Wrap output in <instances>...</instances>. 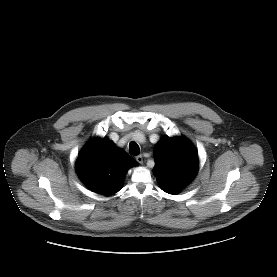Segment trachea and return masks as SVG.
<instances>
[{
    "label": "trachea",
    "mask_w": 277,
    "mask_h": 277,
    "mask_svg": "<svg viewBox=\"0 0 277 277\" xmlns=\"http://www.w3.org/2000/svg\"><path fill=\"white\" fill-rule=\"evenodd\" d=\"M129 152L132 155H138L140 153V148L136 142H134V141L130 142Z\"/></svg>",
    "instance_id": "1"
}]
</instances>
